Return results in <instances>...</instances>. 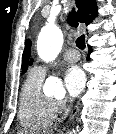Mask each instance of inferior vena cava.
Returning <instances> with one entry per match:
<instances>
[{
  "label": "inferior vena cava",
  "instance_id": "inferior-vena-cava-1",
  "mask_svg": "<svg viewBox=\"0 0 116 134\" xmlns=\"http://www.w3.org/2000/svg\"><path fill=\"white\" fill-rule=\"evenodd\" d=\"M69 111H70V107L65 109L63 118H66V116L68 115Z\"/></svg>",
  "mask_w": 116,
  "mask_h": 134
}]
</instances>
